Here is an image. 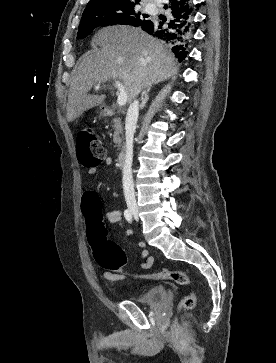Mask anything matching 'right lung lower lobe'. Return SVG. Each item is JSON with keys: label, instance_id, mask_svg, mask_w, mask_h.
Instances as JSON below:
<instances>
[{"label": "right lung lower lobe", "instance_id": "1", "mask_svg": "<svg viewBox=\"0 0 276 363\" xmlns=\"http://www.w3.org/2000/svg\"><path fill=\"white\" fill-rule=\"evenodd\" d=\"M164 7L171 10L167 18L160 22H145L141 28L165 41L176 57L179 60H184L193 30L192 0H169V3Z\"/></svg>", "mask_w": 276, "mask_h": 363}]
</instances>
